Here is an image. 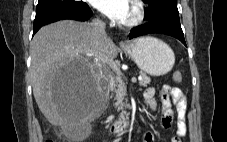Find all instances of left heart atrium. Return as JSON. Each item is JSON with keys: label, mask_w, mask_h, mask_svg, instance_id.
Masks as SVG:
<instances>
[{"label": "left heart atrium", "mask_w": 227, "mask_h": 142, "mask_svg": "<svg viewBox=\"0 0 227 142\" xmlns=\"http://www.w3.org/2000/svg\"><path fill=\"white\" fill-rule=\"evenodd\" d=\"M91 3L110 19L124 22L129 14L131 0H91Z\"/></svg>", "instance_id": "1"}]
</instances>
